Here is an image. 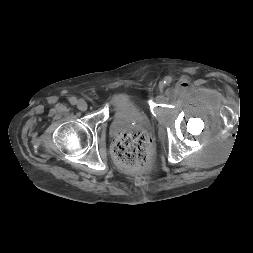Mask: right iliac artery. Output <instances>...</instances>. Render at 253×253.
Listing matches in <instances>:
<instances>
[{
  "instance_id": "82829eb1",
  "label": "right iliac artery",
  "mask_w": 253,
  "mask_h": 253,
  "mask_svg": "<svg viewBox=\"0 0 253 253\" xmlns=\"http://www.w3.org/2000/svg\"><path fill=\"white\" fill-rule=\"evenodd\" d=\"M70 103H71L72 105L77 104V99H76L75 97H71V98H70Z\"/></svg>"
}]
</instances>
